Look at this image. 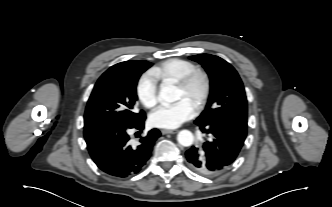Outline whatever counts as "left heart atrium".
<instances>
[{"label": "left heart atrium", "mask_w": 332, "mask_h": 207, "mask_svg": "<svg viewBox=\"0 0 332 207\" xmlns=\"http://www.w3.org/2000/svg\"><path fill=\"white\" fill-rule=\"evenodd\" d=\"M196 110L192 103L181 99L173 104L161 105L150 115L153 126L163 129H175L195 116Z\"/></svg>", "instance_id": "obj_1"}]
</instances>
